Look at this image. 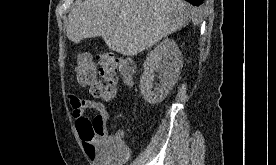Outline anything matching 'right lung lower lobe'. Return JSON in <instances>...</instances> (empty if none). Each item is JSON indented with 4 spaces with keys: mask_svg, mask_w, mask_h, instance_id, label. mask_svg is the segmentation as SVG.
<instances>
[{
    "mask_svg": "<svg viewBox=\"0 0 276 165\" xmlns=\"http://www.w3.org/2000/svg\"><path fill=\"white\" fill-rule=\"evenodd\" d=\"M187 2L191 3L194 6H199L203 3V0H186Z\"/></svg>",
    "mask_w": 276,
    "mask_h": 165,
    "instance_id": "right-lung-lower-lobe-1",
    "label": "right lung lower lobe"
}]
</instances>
